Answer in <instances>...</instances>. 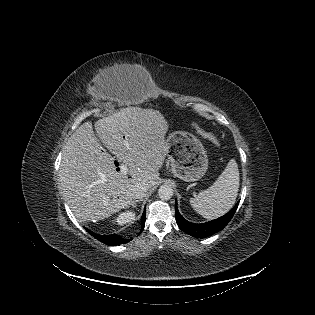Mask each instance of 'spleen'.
<instances>
[{
    "label": "spleen",
    "instance_id": "spleen-1",
    "mask_svg": "<svg viewBox=\"0 0 315 315\" xmlns=\"http://www.w3.org/2000/svg\"><path fill=\"white\" fill-rule=\"evenodd\" d=\"M238 190V165L231 159L213 185L190 198V204L202 217L211 220L224 215L233 207Z\"/></svg>",
    "mask_w": 315,
    "mask_h": 315
}]
</instances>
